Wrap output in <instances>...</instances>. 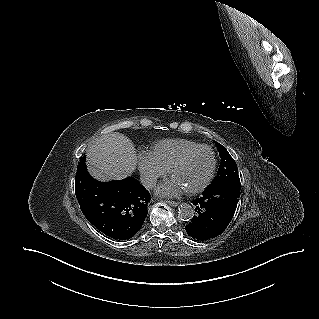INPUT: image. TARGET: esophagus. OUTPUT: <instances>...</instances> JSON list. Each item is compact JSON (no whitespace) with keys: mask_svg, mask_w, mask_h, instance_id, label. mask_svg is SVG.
<instances>
[{"mask_svg":"<svg viewBox=\"0 0 319 319\" xmlns=\"http://www.w3.org/2000/svg\"><path fill=\"white\" fill-rule=\"evenodd\" d=\"M165 202H166V203H168L170 206H173V207H176V206H178V205H179V203H178V202H176V201H169V200H166Z\"/></svg>","mask_w":319,"mask_h":319,"instance_id":"1","label":"esophagus"}]
</instances>
